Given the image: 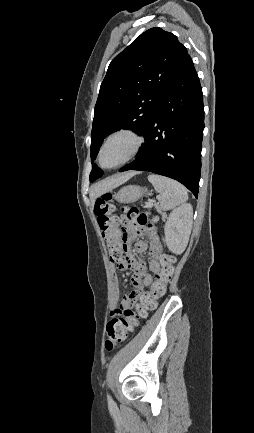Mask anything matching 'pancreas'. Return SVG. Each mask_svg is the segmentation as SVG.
I'll return each mask as SVG.
<instances>
[{
	"label": "pancreas",
	"instance_id": "obj_1",
	"mask_svg": "<svg viewBox=\"0 0 254 433\" xmlns=\"http://www.w3.org/2000/svg\"><path fill=\"white\" fill-rule=\"evenodd\" d=\"M155 208L157 209L158 213L164 216V213L161 210V207L158 204H155Z\"/></svg>",
	"mask_w": 254,
	"mask_h": 433
}]
</instances>
